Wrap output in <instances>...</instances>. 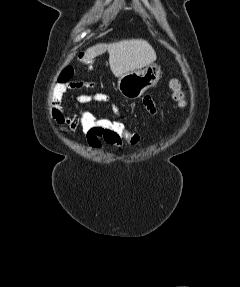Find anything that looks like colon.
Segmentation results:
<instances>
[{
	"label": "colon",
	"mask_w": 240,
	"mask_h": 287,
	"mask_svg": "<svg viewBox=\"0 0 240 287\" xmlns=\"http://www.w3.org/2000/svg\"><path fill=\"white\" fill-rule=\"evenodd\" d=\"M73 76V68L67 67L60 73L56 85L63 99L66 100L68 114L78 129L85 135L118 140L131 148L137 147L142 141V136L138 132L131 131L122 120L102 117L84 109L86 104L83 101L84 95L78 94L77 90L91 86L92 83L87 80L73 81ZM170 89L173 99L179 106L185 107L187 100L181 82L178 79H172Z\"/></svg>",
	"instance_id": "1"
}]
</instances>
